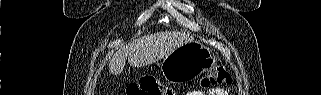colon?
<instances>
[{
	"label": "colon",
	"mask_w": 321,
	"mask_h": 95,
	"mask_svg": "<svg viewBox=\"0 0 321 95\" xmlns=\"http://www.w3.org/2000/svg\"><path fill=\"white\" fill-rule=\"evenodd\" d=\"M233 79L225 68L208 72L200 81L203 88L215 85H230ZM127 95H175L173 88L163 85L155 77H142L138 82L131 83L126 90Z\"/></svg>",
	"instance_id": "5ec220e1"
}]
</instances>
